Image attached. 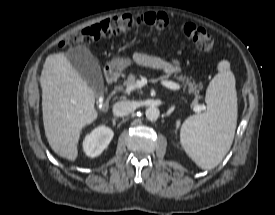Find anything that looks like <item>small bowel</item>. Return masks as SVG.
<instances>
[{"label": "small bowel", "mask_w": 275, "mask_h": 215, "mask_svg": "<svg viewBox=\"0 0 275 215\" xmlns=\"http://www.w3.org/2000/svg\"><path fill=\"white\" fill-rule=\"evenodd\" d=\"M153 65V64H151ZM162 69L167 75H174L180 71V62L177 59H174L171 63L163 62L155 65Z\"/></svg>", "instance_id": "obj_1"}]
</instances>
